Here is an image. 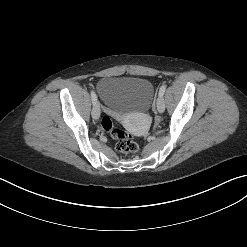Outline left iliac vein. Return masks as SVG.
<instances>
[{
  "label": "left iliac vein",
  "mask_w": 247,
  "mask_h": 247,
  "mask_svg": "<svg viewBox=\"0 0 247 247\" xmlns=\"http://www.w3.org/2000/svg\"><path fill=\"white\" fill-rule=\"evenodd\" d=\"M156 105H157L158 112L163 113L165 110V103H164L163 96H160V95L158 96Z\"/></svg>",
  "instance_id": "obj_1"
}]
</instances>
